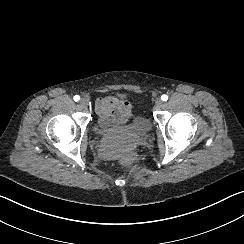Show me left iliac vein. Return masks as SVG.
Returning <instances> with one entry per match:
<instances>
[{"label": "left iliac vein", "mask_w": 244, "mask_h": 244, "mask_svg": "<svg viewBox=\"0 0 244 244\" xmlns=\"http://www.w3.org/2000/svg\"><path fill=\"white\" fill-rule=\"evenodd\" d=\"M155 106L156 108H161L163 106V101L160 98L156 99Z\"/></svg>", "instance_id": "4c4485c4"}]
</instances>
